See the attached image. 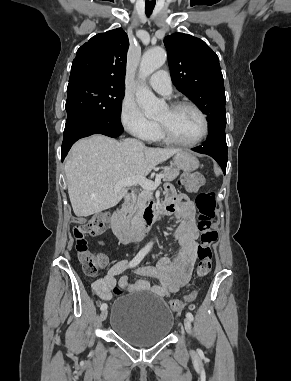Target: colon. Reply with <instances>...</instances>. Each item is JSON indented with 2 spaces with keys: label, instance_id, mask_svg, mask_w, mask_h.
Segmentation results:
<instances>
[{
  "label": "colon",
  "instance_id": "obj_1",
  "mask_svg": "<svg viewBox=\"0 0 291 381\" xmlns=\"http://www.w3.org/2000/svg\"><path fill=\"white\" fill-rule=\"evenodd\" d=\"M182 184L187 190L196 191L204 184V179L196 173H188L182 176ZM195 202L199 212L198 231L200 233L196 273L199 277H205L212 269L213 245L218 239V231L214 226L216 216L215 194L210 191L201 192L197 195ZM108 221V214L101 212L90 216L86 221L75 225L73 228L77 256L88 276H95L106 265L107 260L103 255L92 253L89 250L88 238L102 233L106 229ZM127 291L128 288L121 285L113 288L115 294H122ZM194 297L195 293H192L184 300H171L170 307L172 311L181 312L187 302L193 300Z\"/></svg>",
  "mask_w": 291,
  "mask_h": 381
}]
</instances>
